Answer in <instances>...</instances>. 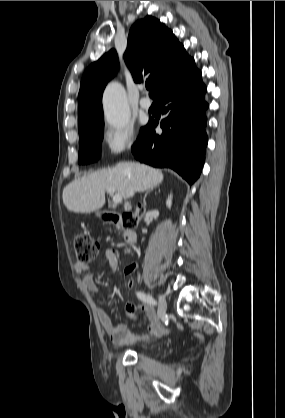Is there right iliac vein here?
<instances>
[{
	"mask_svg": "<svg viewBox=\"0 0 285 418\" xmlns=\"http://www.w3.org/2000/svg\"><path fill=\"white\" fill-rule=\"evenodd\" d=\"M158 299H159L158 317L160 319H162V318H164V316L166 314L167 304H166V300H165L164 296L159 295Z\"/></svg>",
	"mask_w": 285,
	"mask_h": 418,
	"instance_id": "right-iliac-vein-1",
	"label": "right iliac vein"
}]
</instances>
